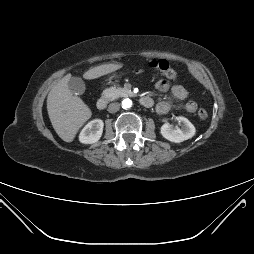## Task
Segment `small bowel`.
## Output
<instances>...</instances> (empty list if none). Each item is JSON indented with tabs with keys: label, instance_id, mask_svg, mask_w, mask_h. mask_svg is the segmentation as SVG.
Listing matches in <instances>:
<instances>
[{
	"label": "small bowel",
	"instance_id": "obj_1",
	"mask_svg": "<svg viewBox=\"0 0 254 254\" xmlns=\"http://www.w3.org/2000/svg\"><path fill=\"white\" fill-rule=\"evenodd\" d=\"M155 88L161 92L169 91L173 98L184 101L187 100L189 93L188 90L179 84L171 85L166 80H159L155 83ZM172 108V104L169 101H160L156 105V111L159 114H165L169 112ZM185 109L187 112H195L197 109V103L195 101L189 100L185 103Z\"/></svg>",
	"mask_w": 254,
	"mask_h": 254
}]
</instances>
